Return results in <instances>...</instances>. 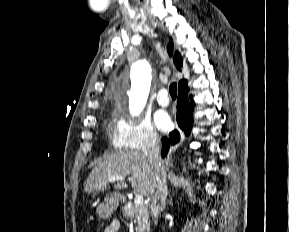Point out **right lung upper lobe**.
I'll list each match as a JSON object with an SVG mask.
<instances>
[{
  "label": "right lung upper lobe",
  "mask_w": 289,
  "mask_h": 232,
  "mask_svg": "<svg viewBox=\"0 0 289 232\" xmlns=\"http://www.w3.org/2000/svg\"><path fill=\"white\" fill-rule=\"evenodd\" d=\"M168 53L171 56L172 55V40L170 41L168 47H167ZM174 62L176 67L180 70V66L182 65V59L181 56L178 52H175L174 55ZM189 88L187 87V80L182 79L179 81L178 84V91H183V90H188Z\"/></svg>",
  "instance_id": "obj_1"
}]
</instances>
